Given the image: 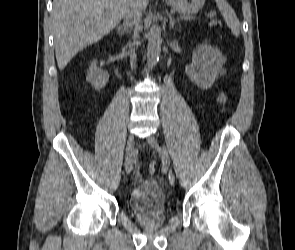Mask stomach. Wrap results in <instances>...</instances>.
Listing matches in <instances>:
<instances>
[{
	"mask_svg": "<svg viewBox=\"0 0 295 250\" xmlns=\"http://www.w3.org/2000/svg\"><path fill=\"white\" fill-rule=\"evenodd\" d=\"M172 9L182 14L197 13L204 6L205 0H166Z\"/></svg>",
	"mask_w": 295,
	"mask_h": 250,
	"instance_id": "1",
	"label": "stomach"
}]
</instances>
